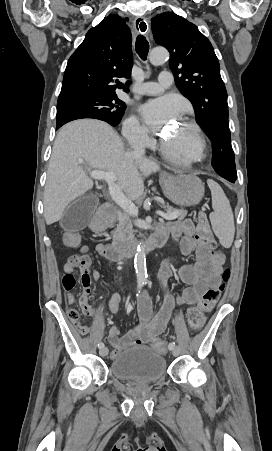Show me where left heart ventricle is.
Here are the masks:
<instances>
[{"mask_svg": "<svg viewBox=\"0 0 272 451\" xmlns=\"http://www.w3.org/2000/svg\"><path fill=\"white\" fill-rule=\"evenodd\" d=\"M169 141L175 148L189 151L192 148V137L190 130L183 124L176 127L173 134L170 136Z\"/></svg>", "mask_w": 272, "mask_h": 451, "instance_id": "1", "label": "left heart ventricle"}]
</instances>
